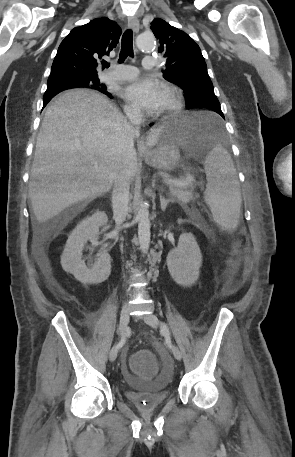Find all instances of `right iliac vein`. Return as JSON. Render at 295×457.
I'll return each instance as SVG.
<instances>
[{"label":"right iliac vein","instance_id":"obj_1","mask_svg":"<svg viewBox=\"0 0 295 457\" xmlns=\"http://www.w3.org/2000/svg\"><path fill=\"white\" fill-rule=\"evenodd\" d=\"M129 323V306L125 304L123 306V309L121 311L120 315V323H119V335L120 337H123L127 330V326ZM118 354V345L113 346L109 353V359L111 362L115 361L116 357Z\"/></svg>","mask_w":295,"mask_h":457}]
</instances>
